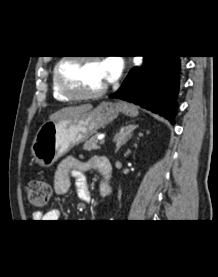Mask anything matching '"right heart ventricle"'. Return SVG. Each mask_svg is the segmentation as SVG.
<instances>
[{
  "instance_id": "e07e8e85",
  "label": "right heart ventricle",
  "mask_w": 218,
  "mask_h": 277,
  "mask_svg": "<svg viewBox=\"0 0 218 277\" xmlns=\"http://www.w3.org/2000/svg\"><path fill=\"white\" fill-rule=\"evenodd\" d=\"M52 94L53 97L60 102H67L70 101L69 98L65 97L58 89L57 87V83H56V79H55V74H54V70L52 72Z\"/></svg>"
}]
</instances>
